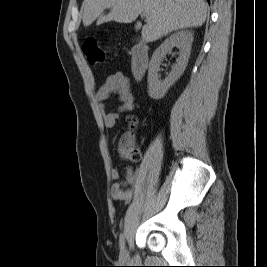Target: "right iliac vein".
<instances>
[{"mask_svg": "<svg viewBox=\"0 0 267 267\" xmlns=\"http://www.w3.org/2000/svg\"><path fill=\"white\" fill-rule=\"evenodd\" d=\"M127 258H128V251H127V248L123 246L120 250V260L122 262H125Z\"/></svg>", "mask_w": 267, "mask_h": 267, "instance_id": "right-iliac-vein-1", "label": "right iliac vein"}]
</instances>
